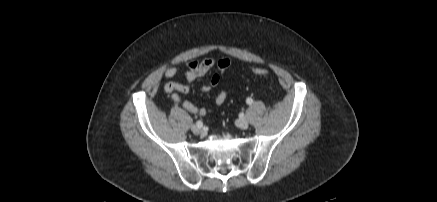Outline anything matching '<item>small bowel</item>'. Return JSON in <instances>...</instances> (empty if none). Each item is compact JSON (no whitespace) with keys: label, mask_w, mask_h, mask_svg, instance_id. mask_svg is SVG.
<instances>
[{"label":"small bowel","mask_w":437,"mask_h":202,"mask_svg":"<svg viewBox=\"0 0 437 202\" xmlns=\"http://www.w3.org/2000/svg\"><path fill=\"white\" fill-rule=\"evenodd\" d=\"M231 66V61L228 58H206L202 61L192 60L187 63V68L182 72L187 83H178L174 81H168L163 85L164 90L171 95L174 102L181 105L188 112L199 115L206 116L211 113V109L198 107L188 100H183L180 94H187L191 91L192 83L198 78L204 76L213 68H216L218 72H223ZM181 72L176 67H168L164 74L167 78H174L178 76ZM220 77L218 73H214L208 84L201 87L202 92H209L215 88L219 83ZM228 93L222 90L215 94L214 101L217 105L223 104L227 99Z\"/></svg>","instance_id":"1"}]
</instances>
